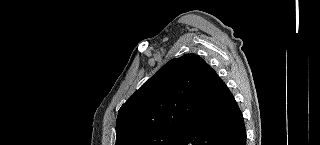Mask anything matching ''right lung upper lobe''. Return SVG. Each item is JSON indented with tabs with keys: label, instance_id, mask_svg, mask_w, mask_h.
<instances>
[{
	"label": "right lung upper lobe",
	"instance_id": "cb5924a9",
	"mask_svg": "<svg viewBox=\"0 0 320 145\" xmlns=\"http://www.w3.org/2000/svg\"><path fill=\"white\" fill-rule=\"evenodd\" d=\"M222 84L198 55L170 60L120 108L116 145H132L152 132L186 128L209 117L218 108Z\"/></svg>",
	"mask_w": 320,
	"mask_h": 145
}]
</instances>
